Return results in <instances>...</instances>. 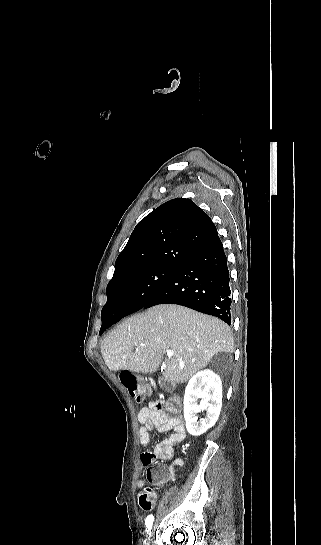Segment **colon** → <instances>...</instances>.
I'll return each mask as SVG.
<instances>
[{
  "mask_svg": "<svg viewBox=\"0 0 321 545\" xmlns=\"http://www.w3.org/2000/svg\"><path fill=\"white\" fill-rule=\"evenodd\" d=\"M122 385L126 388L128 393L137 402L143 400V397L147 389L141 384L140 380L129 371H122L119 375ZM162 472L159 471L155 475V479H159ZM156 496L151 488H143L139 493V504L144 510H151L155 504Z\"/></svg>",
  "mask_w": 321,
  "mask_h": 545,
  "instance_id": "colon-1",
  "label": "colon"
}]
</instances>
